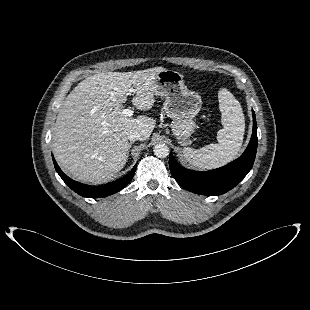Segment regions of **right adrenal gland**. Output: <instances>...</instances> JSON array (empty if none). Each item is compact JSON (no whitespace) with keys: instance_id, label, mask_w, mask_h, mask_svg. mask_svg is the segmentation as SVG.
Returning <instances> with one entry per match:
<instances>
[{"instance_id":"1","label":"right adrenal gland","mask_w":310,"mask_h":310,"mask_svg":"<svg viewBox=\"0 0 310 310\" xmlns=\"http://www.w3.org/2000/svg\"><path fill=\"white\" fill-rule=\"evenodd\" d=\"M132 144H133V142H130V143H129V150H130ZM129 150H128V152H127V155H128V156H129Z\"/></svg>"}]
</instances>
